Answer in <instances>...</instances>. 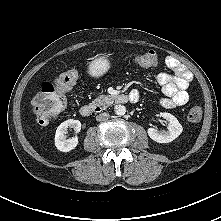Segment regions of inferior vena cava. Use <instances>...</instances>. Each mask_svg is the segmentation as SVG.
Segmentation results:
<instances>
[{
  "label": "inferior vena cava",
  "instance_id": "obj_1",
  "mask_svg": "<svg viewBox=\"0 0 221 221\" xmlns=\"http://www.w3.org/2000/svg\"><path fill=\"white\" fill-rule=\"evenodd\" d=\"M108 117H109V114L106 113V112H103V113L98 114V115L96 116V120H97V121H105V120L108 119Z\"/></svg>",
  "mask_w": 221,
  "mask_h": 221
}]
</instances>
